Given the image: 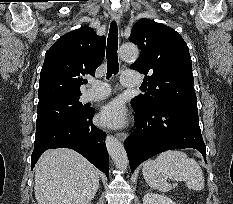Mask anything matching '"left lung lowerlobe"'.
<instances>
[{"instance_id":"obj_1","label":"left lung lower lobe","mask_w":233,"mask_h":204,"mask_svg":"<svg viewBox=\"0 0 233 204\" xmlns=\"http://www.w3.org/2000/svg\"><path fill=\"white\" fill-rule=\"evenodd\" d=\"M133 108L137 130L125 141L132 173L142 162L171 149L195 148L206 156L197 105L163 101L151 107Z\"/></svg>"}]
</instances>
